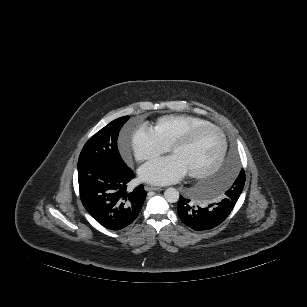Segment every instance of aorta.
<instances>
[{"mask_svg":"<svg viewBox=\"0 0 307 307\" xmlns=\"http://www.w3.org/2000/svg\"><path fill=\"white\" fill-rule=\"evenodd\" d=\"M164 198L169 203H175L179 200V192L175 188H167L164 192Z\"/></svg>","mask_w":307,"mask_h":307,"instance_id":"1","label":"aorta"}]
</instances>
